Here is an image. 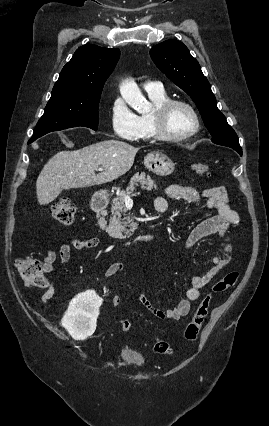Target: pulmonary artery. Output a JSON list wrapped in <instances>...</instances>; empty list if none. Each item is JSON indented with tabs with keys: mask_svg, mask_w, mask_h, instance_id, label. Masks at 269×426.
Instances as JSON below:
<instances>
[{
	"mask_svg": "<svg viewBox=\"0 0 269 426\" xmlns=\"http://www.w3.org/2000/svg\"><path fill=\"white\" fill-rule=\"evenodd\" d=\"M144 89L148 93H162L164 92L163 85L160 82L148 81L144 84Z\"/></svg>",
	"mask_w": 269,
	"mask_h": 426,
	"instance_id": "1",
	"label": "pulmonary artery"
}]
</instances>
